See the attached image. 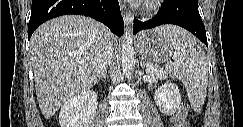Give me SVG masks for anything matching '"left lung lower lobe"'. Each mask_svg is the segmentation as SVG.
Returning <instances> with one entry per match:
<instances>
[{"mask_svg": "<svg viewBox=\"0 0 243 127\" xmlns=\"http://www.w3.org/2000/svg\"><path fill=\"white\" fill-rule=\"evenodd\" d=\"M162 24L181 26L207 45L205 26L198 11V0H164L158 14L146 21L134 19L133 33L151 29Z\"/></svg>", "mask_w": 243, "mask_h": 127, "instance_id": "obj_1", "label": "left lung lower lobe"}]
</instances>
